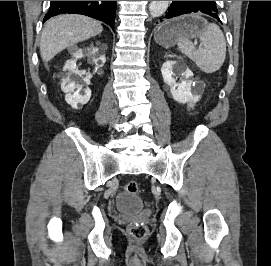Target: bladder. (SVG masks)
Wrapping results in <instances>:
<instances>
[{
	"mask_svg": "<svg viewBox=\"0 0 271 266\" xmlns=\"http://www.w3.org/2000/svg\"><path fill=\"white\" fill-rule=\"evenodd\" d=\"M142 207V199L135 194L124 192L119 194L115 200V209L121 213L134 214Z\"/></svg>",
	"mask_w": 271,
	"mask_h": 266,
	"instance_id": "31cf9c89",
	"label": "bladder"
}]
</instances>
